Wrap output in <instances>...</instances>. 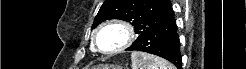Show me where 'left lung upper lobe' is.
Returning a JSON list of instances; mask_svg holds the SVG:
<instances>
[{
    "mask_svg": "<svg viewBox=\"0 0 246 69\" xmlns=\"http://www.w3.org/2000/svg\"><path fill=\"white\" fill-rule=\"evenodd\" d=\"M173 15L169 0H106L95 17L92 28L108 19H121L130 22L135 33L140 35Z\"/></svg>",
    "mask_w": 246,
    "mask_h": 69,
    "instance_id": "obj_1",
    "label": "left lung upper lobe"
}]
</instances>
